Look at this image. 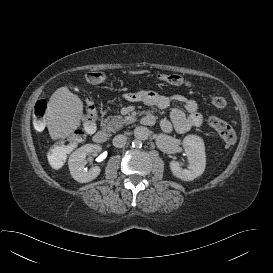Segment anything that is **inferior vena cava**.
<instances>
[{
    "instance_id": "1",
    "label": "inferior vena cava",
    "mask_w": 273,
    "mask_h": 273,
    "mask_svg": "<svg viewBox=\"0 0 273 273\" xmlns=\"http://www.w3.org/2000/svg\"><path fill=\"white\" fill-rule=\"evenodd\" d=\"M126 142H127V137L125 135H116L114 138H113V145L116 147V148H122L126 145Z\"/></svg>"
}]
</instances>
